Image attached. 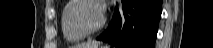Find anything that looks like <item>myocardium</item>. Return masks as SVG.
I'll return each mask as SVG.
<instances>
[{"instance_id":"1","label":"myocardium","mask_w":213,"mask_h":48,"mask_svg":"<svg viewBox=\"0 0 213 48\" xmlns=\"http://www.w3.org/2000/svg\"><path fill=\"white\" fill-rule=\"evenodd\" d=\"M87 2L95 3L101 9V20H100L99 24L93 29L85 28L76 17L77 9L83 3H87ZM68 17H69V21H70V24L72 25V27L82 36H89V35H93V34L99 32L104 27L105 22H106L105 8H104V5L102 4V2L99 0H74V2L72 3V5L70 7Z\"/></svg>"}]
</instances>
